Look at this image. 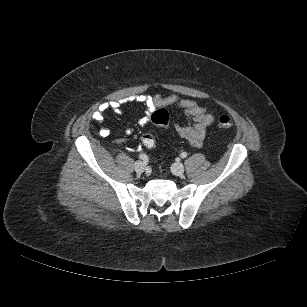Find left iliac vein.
Instances as JSON below:
<instances>
[{"label": "left iliac vein", "mask_w": 307, "mask_h": 307, "mask_svg": "<svg viewBox=\"0 0 307 307\" xmlns=\"http://www.w3.org/2000/svg\"><path fill=\"white\" fill-rule=\"evenodd\" d=\"M172 173L174 175H177V176H180L184 173V166L183 164L181 163H175L173 166H172Z\"/></svg>", "instance_id": "obj_1"}]
</instances>
